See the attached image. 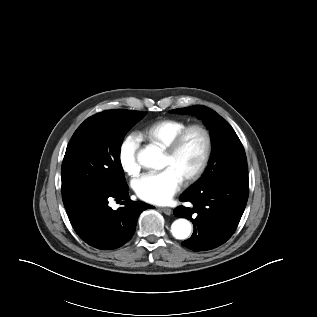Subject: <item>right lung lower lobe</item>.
<instances>
[{"instance_id": "98d812e1", "label": "right lung lower lobe", "mask_w": 317, "mask_h": 317, "mask_svg": "<svg viewBox=\"0 0 317 317\" xmlns=\"http://www.w3.org/2000/svg\"><path fill=\"white\" fill-rule=\"evenodd\" d=\"M109 197L123 199V206L113 210L108 206ZM65 207L80 238L101 250H113L128 242L135 232L139 215L152 208L144 202L130 200L127 185L121 189H97Z\"/></svg>"}]
</instances>
